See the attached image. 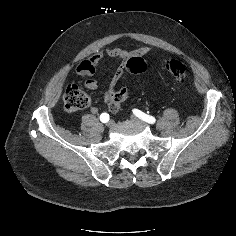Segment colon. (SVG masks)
<instances>
[{
	"label": "colon",
	"mask_w": 236,
	"mask_h": 236,
	"mask_svg": "<svg viewBox=\"0 0 236 236\" xmlns=\"http://www.w3.org/2000/svg\"><path fill=\"white\" fill-rule=\"evenodd\" d=\"M146 62L140 57H131L127 62V69L133 74H140L146 70ZM164 69L174 78L177 83H183L186 80V66L178 60H168L164 64ZM129 94V88L123 87L112 96L109 101V108L112 112H117L126 97ZM65 109L68 112H76L84 109L89 104L87 94L77 85H69L63 95Z\"/></svg>",
	"instance_id": "1"
}]
</instances>
